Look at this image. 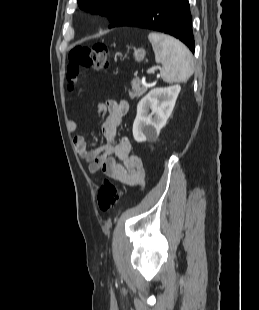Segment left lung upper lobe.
Wrapping results in <instances>:
<instances>
[{"label":"left lung upper lobe","instance_id":"5c2ea615","mask_svg":"<svg viewBox=\"0 0 259 310\" xmlns=\"http://www.w3.org/2000/svg\"><path fill=\"white\" fill-rule=\"evenodd\" d=\"M150 0H78V6L91 14L106 16L113 27L126 14Z\"/></svg>","mask_w":259,"mask_h":310}]
</instances>
